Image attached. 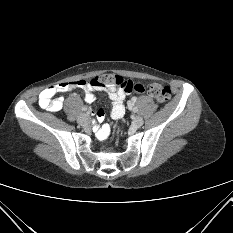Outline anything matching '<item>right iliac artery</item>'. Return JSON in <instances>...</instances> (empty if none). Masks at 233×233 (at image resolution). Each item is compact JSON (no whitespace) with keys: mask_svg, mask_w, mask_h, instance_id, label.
I'll use <instances>...</instances> for the list:
<instances>
[{"mask_svg":"<svg viewBox=\"0 0 233 233\" xmlns=\"http://www.w3.org/2000/svg\"><path fill=\"white\" fill-rule=\"evenodd\" d=\"M82 110L87 111V107H83ZM87 113H89V111Z\"/></svg>","mask_w":233,"mask_h":233,"instance_id":"obj_1","label":"right iliac artery"}]
</instances>
